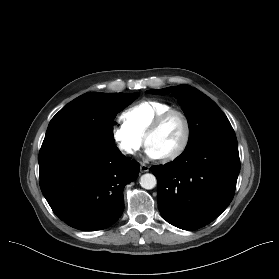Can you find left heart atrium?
I'll return each mask as SVG.
<instances>
[{
    "mask_svg": "<svg viewBox=\"0 0 279 279\" xmlns=\"http://www.w3.org/2000/svg\"><path fill=\"white\" fill-rule=\"evenodd\" d=\"M146 153L149 157H151L153 159L161 158V156L150 146H147Z\"/></svg>",
    "mask_w": 279,
    "mask_h": 279,
    "instance_id": "obj_1",
    "label": "left heart atrium"
}]
</instances>
